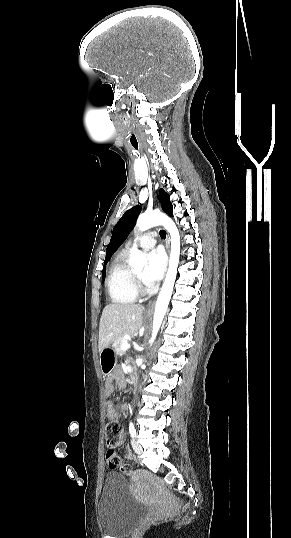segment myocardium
I'll use <instances>...</instances> for the list:
<instances>
[{"instance_id": "1", "label": "myocardium", "mask_w": 291, "mask_h": 538, "mask_svg": "<svg viewBox=\"0 0 291 538\" xmlns=\"http://www.w3.org/2000/svg\"><path fill=\"white\" fill-rule=\"evenodd\" d=\"M131 278L135 293L138 296L145 295L147 293V288L145 287L143 281L133 271L131 273Z\"/></svg>"}]
</instances>
